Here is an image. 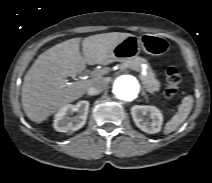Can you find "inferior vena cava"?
Listing matches in <instances>:
<instances>
[{
	"mask_svg": "<svg viewBox=\"0 0 212 183\" xmlns=\"http://www.w3.org/2000/svg\"><path fill=\"white\" fill-rule=\"evenodd\" d=\"M105 87H106V81L104 79L97 80L88 88V92L91 95H97L101 93Z\"/></svg>",
	"mask_w": 212,
	"mask_h": 183,
	"instance_id": "obj_1",
	"label": "inferior vena cava"
}]
</instances>
